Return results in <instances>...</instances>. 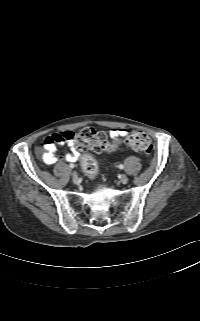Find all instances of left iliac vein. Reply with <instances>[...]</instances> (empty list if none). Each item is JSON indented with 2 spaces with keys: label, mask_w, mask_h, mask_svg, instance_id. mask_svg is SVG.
Wrapping results in <instances>:
<instances>
[{
  "label": "left iliac vein",
  "mask_w": 200,
  "mask_h": 321,
  "mask_svg": "<svg viewBox=\"0 0 200 321\" xmlns=\"http://www.w3.org/2000/svg\"><path fill=\"white\" fill-rule=\"evenodd\" d=\"M120 182H121L122 184H126V183L128 182V177H127L125 174H122V175L120 176Z\"/></svg>",
  "instance_id": "1"
}]
</instances>
